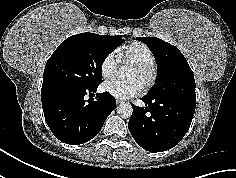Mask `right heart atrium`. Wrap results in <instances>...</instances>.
<instances>
[{
	"label": "right heart atrium",
	"mask_w": 236,
	"mask_h": 178,
	"mask_svg": "<svg viewBox=\"0 0 236 178\" xmlns=\"http://www.w3.org/2000/svg\"><path fill=\"white\" fill-rule=\"evenodd\" d=\"M119 61L114 53H108L101 61L100 73L104 80L112 79L117 73Z\"/></svg>",
	"instance_id": "1"
}]
</instances>
